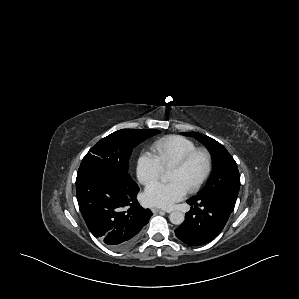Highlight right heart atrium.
I'll use <instances>...</instances> for the list:
<instances>
[{"mask_svg": "<svg viewBox=\"0 0 299 299\" xmlns=\"http://www.w3.org/2000/svg\"><path fill=\"white\" fill-rule=\"evenodd\" d=\"M163 168L157 157L150 152L143 151L136 161V175L140 183L147 185L157 180Z\"/></svg>", "mask_w": 299, "mask_h": 299, "instance_id": "right-heart-atrium-1", "label": "right heart atrium"}]
</instances>
